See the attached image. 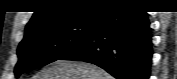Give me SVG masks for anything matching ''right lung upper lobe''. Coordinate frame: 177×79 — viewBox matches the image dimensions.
<instances>
[{
    "instance_id": "cb5924a9",
    "label": "right lung upper lobe",
    "mask_w": 177,
    "mask_h": 79,
    "mask_svg": "<svg viewBox=\"0 0 177 79\" xmlns=\"http://www.w3.org/2000/svg\"><path fill=\"white\" fill-rule=\"evenodd\" d=\"M131 3L128 0H42L27 24L25 34L42 26L101 15L105 9Z\"/></svg>"
}]
</instances>
